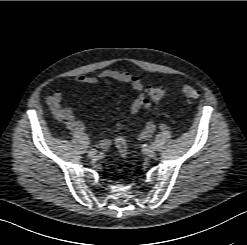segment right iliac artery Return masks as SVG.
<instances>
[{
    "label": "right iliac artery",
    "instance_id": "right-iliac-artery-1",
    "mask_svg": "<svg viewBox=\"0 0 247 245\" xmlns=\"http://www.w3.org/2000/svg\"><path fill=\"white\" fill-rule=\"evenodd\" d=\"M90 151H95V152H96V150H95V149H93V148H92Z\"/></svg>",
    "mask_w": 247,
    "mask_h": 245
}]
</instances>
